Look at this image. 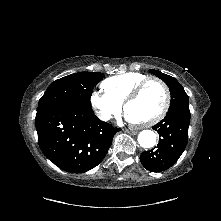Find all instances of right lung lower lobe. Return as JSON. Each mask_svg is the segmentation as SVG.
Wrapping results in <instances>:
<instances>
[{
    "label": "right lung lower lobe",
    "instance_id": "1",
    "mask_svg": "<svg viewBox=\"0 0 221 221\" xmlns=\"http://www.w3.org/2000/svg\"><path fill=\"white\" fill-rule=\"evenodd\" d=\"M38 142L43 154L57 167L83 173L106 156L112 137L121 129L101 121L92 108L63 104L36 115Z\"/></svg>",
    "mask_w": 221,
    "mask_h": 221
}]
</instances>
